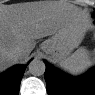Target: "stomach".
I'll list each match as a JSON object with an SVG mask.
<instances>
[{"mask_svg":"<svg viewBox=\"0 0 95 95\" xmlns=\"http://www.w3.org/2000/svg\"><path fill=\"white\" fill-rule=\"evenodd\" d=\"M84 35L83 23L71 21L60 28L51 38L45 40L41 48L54 62H60L80 45Z\"/></svg>","mask_w":95,"mask_h":95,"instance_id":"stomach-1","label":"stomach"}]
</instances>
